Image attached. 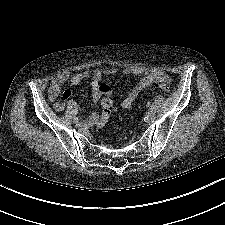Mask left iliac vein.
Segmentation results:
<instances>
[{
	"label": "left iliac vein",
	"instance_id": "obj_1",
	"mask_svg": "<svg viewBox=\"0 0 225 225\" xmlns=\"http://www.w3.org/2000/svg\"><path fill=\"white\" fill-rule=\"evenodd\" d=\"M147 116L149 119H153L155 117V110L154 109H149Z\"/></svg>",
	"mask_w": 225,
	"mask_h": 225
}]
</instances>
